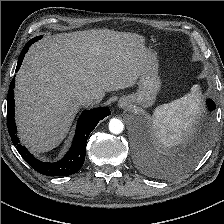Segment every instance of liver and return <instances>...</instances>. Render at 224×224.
<instances>
[{"label":"liver","instance_id":"1","mask_svg":"<svg viewBox=\"0 0 224 224\" xmlns=\"http://www.w3.org/2000/svg\"><path fill=\"white\" fill-rule=\"evenodd\" d=\"M145 38L108 29L45 37L17 73L15 111L19 136L32 152H47L66 137L85 93L131 87L149 55Z\"/></svg>","mask_w":224,"mask_h":224}]
</instances>
